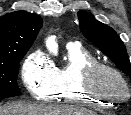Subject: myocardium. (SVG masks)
Segmentation results:
<instances>
[{
  "mask_svg": "<svg viewBox=\"0 0 131 115\" xmlns=\"http://www.w3.org/2000/svg\"><path fill=\"white\" fill-rule=\"evenodd\" d=\"M101 72H108L116 76L123 85V94L114 95L99 90L95 85V79ZM79 86L86 94L110 102L119 101L129 94V86L124 76L116 68L101 62L92 63L82 69Z\"/></svg>",
  "mask_w": 131,
  "mask_h": 115,
  "instance_id": "myocardium-1",
  "label": "myocardium"
}]
</instances>
